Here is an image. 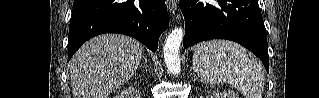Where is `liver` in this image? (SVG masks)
Instances as JSON below:
<instances>
[{
  "label": "liver",
  "instance_id": "6515ba94",
  "mask_svg": "<svg viewBox=\"0 0 319 98\" xmlns=\"http://www.w3.org/2000/svg\"><path fill=\"white\" fill-rule=\"evenodd\" d=\"M142 44L119 34L86 42L70 61L73 98H107L136 72Z\"/></svg>",
  "mask_w": 319,
  "mask_h": 98
}]
</instances>
